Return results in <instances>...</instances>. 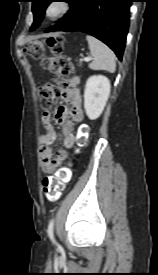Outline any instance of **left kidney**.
I'll use <instances>...</instances> for the list:
<instances>
[{
    "label": "left kidney",
    "mask_w": 158,
    "mask_h": 275,
    "mask_svg": "<svg viewBox=\"0 0 158 275\" xmlns=\"http://www.w3.org/2000/svg\"><path fill=\"white\" fill-rule=\"evenodd\" d=\"M110 89V81L103 75H93L86 81L84 108L90 120H96L102 114Z\"/></svg>",
    "instance_id": "5707ae66"
}]
</instances>
